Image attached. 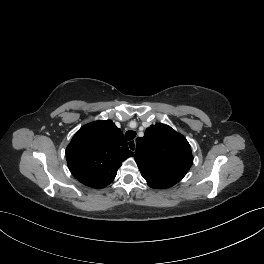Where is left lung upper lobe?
Returning <instances> with one entry per match:
<instances>
[{
    "label": "left lung upper lobe",
    "instance_id": "5c2ea615",
    "mask_svg": "<svg viewBox=\"0 0 264 264\" xmlns=\"http://www.w3.org/2000/svg\"><path fill=\"white\" fill-rule=\"evenodd\" d=\"M135 161L143 177L166 176L179 182L193 163L186 138L170 126L157 123L136 139Z\"/></svg>",
    "mask_w": 264,
    "mask_h": 264
}]
</instances>
